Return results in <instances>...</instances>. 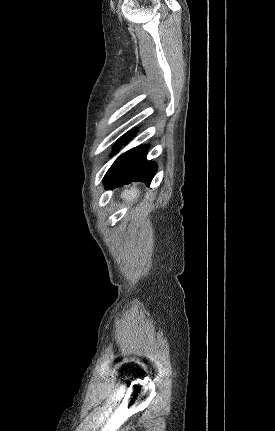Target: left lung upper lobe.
I'll return each instance as SVG.
<instances>
[{"instance_id":"5c2ea615","label":"left lung upper lobe","mask_w":275,"mask_h":431,"mask_svg":"<svg viewBox=\"0 0 275 431\" xmlns=\"http://www.w3.org/2000/svg\"><path fill=\"white\" fill-rule=\"evenodd\" d=\"M133 134H134V131H131V132L127 133L126 135H124V137L121 139V141L119 143H117L115 150H114V153L118 152V150L120 149V145H121L122 140L123 139H130L131 136H133Z\"/></svg>"}]
</instances>
